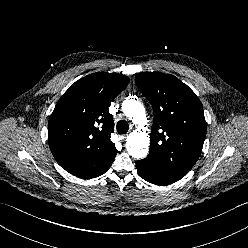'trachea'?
Here are the masks:
<instances>
[{"label": "trachea", "mask_w": 248, "mask_h": 248, "mask_svg": "<svg viewBox=\"0 0 248 248\" xmlns=\"http://www.w3.org/2000/svg\"><path fill=\"white\" fill-rule=\"evenodd\" d=\"M116 128L119 134H125L129 129V124L125 120H120L117 122Z\"/></svg>", "instance_id": "trachea-1"}]
</instances>
